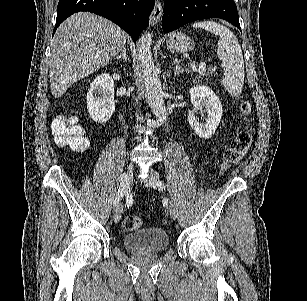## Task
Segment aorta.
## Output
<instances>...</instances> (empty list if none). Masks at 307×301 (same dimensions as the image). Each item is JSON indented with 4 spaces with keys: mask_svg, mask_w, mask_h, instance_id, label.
Wrapping results in <instances>:
<instances>
[{
    "mask_svg": "<svg viewBox=\"0 0 307 301\" xmlns=\"http://www.w3.org/2000/svg\"><path fill=\"white\" fill-rule=\"evenodd\" d=\"M152 36V32H146V34L140 36L138 40V54L149 106L153 114H155L158 120L167 128V108L163 98L161 80L158 76L151 50Z\"/></svg>",
    "mask_w": 307,
    "mask_h": 301,
    "instance_id": "aorta-1",
    "label": "aorta"
}]
</instances>
